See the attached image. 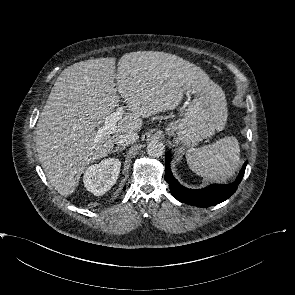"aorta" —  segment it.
Masks as SVG:
<instances>
[{
  "label": "aorta",
  "mask_w": 295,
  "mask_h": 295,
  "mask_svg": "<svg viewBox=\"0 0 295 295\" xmlns=\"http://www.w3.org/2000/svg\"><path fill=\"white\" fill-rule=\"evenodd\" d=\"M165 151V145L159 140H151L147 145V153L152 157H160Z\"/></svg>",
  "instance_id": "762f6f07"
}]
</instances>
